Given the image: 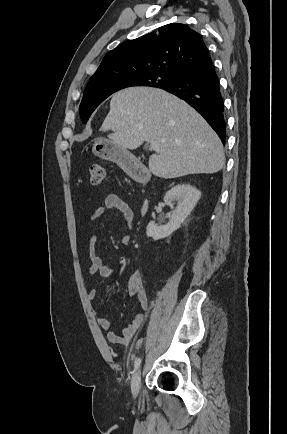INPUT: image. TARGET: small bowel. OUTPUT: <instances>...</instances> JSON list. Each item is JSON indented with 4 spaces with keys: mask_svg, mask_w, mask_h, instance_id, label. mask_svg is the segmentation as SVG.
Here are the masks:
<instances>
[{
    "mask_svg": "<svg viewBox=\"0 0 287 434\" xmlns=\"http://www.w3.org/2000/svg\"><path fill=\"white\" fill-rule=\"evenodd\" d=\"M109 209L118 210L126 221L128 228L132 226L134 217L132 208L123 199L114 194L108 195L105 199L104 205L94 210L91 215V219L93 221L99 220L105 215L106 211ZM130 241V233L124 234L121 238V242L124 246L129 245ZM95 242V236H90L88 240V255L90 260L89 274L99 275L103 278H111L116 276V271L113 268L105 265L102 262V259L96 254ZM128 288L130 297L136 299L141 307V312L134 316L132 322L120 331H116L112 329L111 320L107 318H98L97 320L98 325L107 332V339L113 343H129L134 337V335L142 328L145 323V312L148 308V299L140 271H132ZM88 299L90 302H94L97 299V291L91 290L88 294Z\"/></svg>",
    "mask_w": 287,
    "mask_h": 434,
    "instance_id": "c3829d8e",
    "label": "small bowel"
}]
</instances>
